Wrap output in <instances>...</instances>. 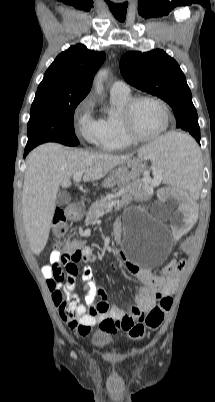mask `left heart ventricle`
<instances>
[{"label": "left heart ventricle", "mask_w": 215, "mask_h": 402, "mask_svg": "<svg viewBox=\"0 0 215 402\" xmlns=\"http://www.w3.org/2000/svg\"><path fill=\"white\" fill-rule=\"evenodd\" d=\"M165 123V115L162 108L152 101L140 102L133 114V124L137 133L141 135H153L160 131Z\"/></svg>", "instance_id": "b2bd125f"}]
</instances>
